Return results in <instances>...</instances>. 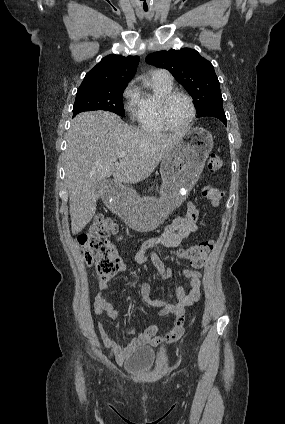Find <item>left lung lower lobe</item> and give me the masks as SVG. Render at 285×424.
<instances>
[{"mask_svg":"<svg viewBox=\"0 0 285 424\" xmlns=\"http://www.w3.org/2000/svg\"><path fill=\"white\" fill-rule=\"evenodd\" d=\"M206 116L218 118L225 125H227V120H226L225 112L223 110V105H216V106L210 107L199 117H206Z\"/></svg>","mask_w":285,"mask_h":424,"instance_id":"left-lung-lower-lobe-1","label":"left lung lower lobe"}]
</instances>
